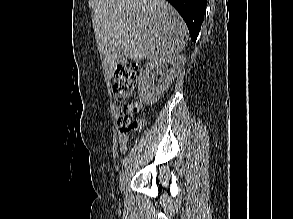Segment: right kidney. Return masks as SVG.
<instances>
[{
	"label": "right kidney",
	"mask_w": 293,
	"mask_h": 219,
	"mask_svg": "<svg viewBox=\"0 0 293 219\" xmlns=\"http://www.w3.org/2000/svg\"><path fill=\"white\" fill-rule=\"evenodd\" d=\"M184 63L185 57L181 55L150 59L139 75L138 93L140 100L148 105L157 102L178 76ZM168 65L171 66L170 69H167ZM153 69L160 75L156 83L154 82V77L150 76Z\"/></svg>",
	"instance_id": "obj_1"
}]
</instances>
